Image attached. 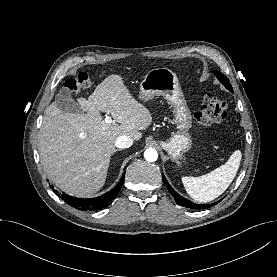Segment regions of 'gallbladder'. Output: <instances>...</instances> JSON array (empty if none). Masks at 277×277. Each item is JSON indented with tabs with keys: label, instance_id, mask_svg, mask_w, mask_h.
<instances>
[{
	"label": "gallbladder",
	"instance_id": "obj_1",
	"mask_svg": "<svg viewBox=\"0 0 277 277\" xmlns=\"http://www.w3.org/2000/svg\"><path fill=\"white\" fill-rule=\"evenodd\" d=\"M56 104L61 111L66 113H82L83 110L80 108L77 102H75L70 95V91L67 88L60 89L55 99Z\"/></svg>",
	"mask_w": 277,
	"mask_h": 277
}]
</instances>
